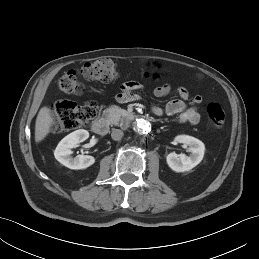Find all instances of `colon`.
Wrapping results in <instances>:
<instances>
[{
    "label": "colon",
    "mask_w": 259,
    "mask_h": 259,
    "mask_svg": "<svg viewBox=\"0 0 259 259\" xmlns=\"http://www.w3.org/2000/svg\"><path fill=\"white\" fill-rule=\"evenodd\" d=\"M118 77L115 62L109 58L98 59L86 63L81 68L69 70L58 80L59 89L65 94H79L82 91L81 80L112 82ZM55 132L74 130L92 119L98 112V104L91 100L83 105L70 101H60L54 104ZM207 115L215 128H222L226 122V113L218 103L207 106Z\"/></svg>",
    "instance_id": "5ec220e1"
}]
</instances>
